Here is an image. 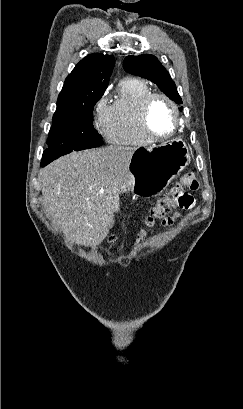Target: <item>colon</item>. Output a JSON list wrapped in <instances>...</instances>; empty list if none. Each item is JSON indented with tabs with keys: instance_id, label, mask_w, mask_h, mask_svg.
I'll return each instance as SVG.
<instances>
[{
	"instance_id": "colon-1",
	"label": "colon",
	"mask_w": 243,
	"mask_h": 409,
	"mask_svg": "<svg viewBox=\"0 0 243 409\" xmlns=\"http://www.w3.org/2000/svg\"><path fill=\"white\" fill-rule=\"evenodd\" d=\"M198 181L193 173H187L183 175L178 185L171 190L168 194L159 198L154 206L151 207L149 213L146 217L145 224L147 227H153L157 220H162L170 214L175 208L178 207H187L190 205V195L186 190L195 191L198 189ZM145 236V232L141 231L137 234L135 242H139ZM110 245H117L116 238L111 236L109 238Z\"/></svg>"
}]
</instances>
